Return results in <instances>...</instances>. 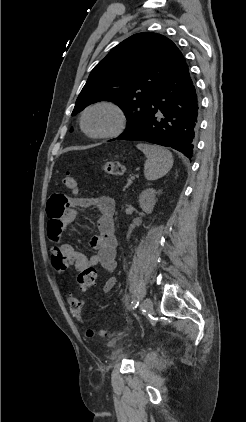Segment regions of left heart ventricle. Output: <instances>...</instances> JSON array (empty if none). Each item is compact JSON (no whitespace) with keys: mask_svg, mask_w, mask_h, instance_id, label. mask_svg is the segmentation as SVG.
Here are the masks:
<instances>
[{"mask_svg":"<svg viewBox=\"0 0 246 422\" xmlns=\"http://www.w3.org/2000/svg\"><path fill=\"white\" fill-rule=\"evenodd\" d=\"M114 113L106 108L91 110L85 118V126L92 133L109 130L115 123Z\"/></svg>","mask_w":246,"mask_h":422,"instance_id":"b2bd125f","label":"left heart ventricle"}]
</instances>
